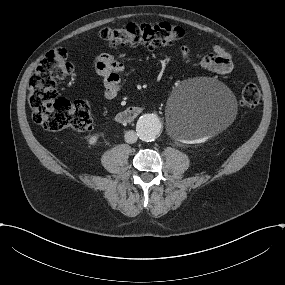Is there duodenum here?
<instances>
[{
    "instance_id": "duodenum-1",
    "label": "duodenum",
    "mask_w": 285,
    "mask_h": 285,
    "mask_svg": "<svg viewBox=\"0 0 285 285\" xmlns=\"http://www.w3.org/2000/svg\"><path fill=\"white\" fill-rule=\"evenodd\" d=\"M142 109L139 106H132L123 111H120L116 115V121L120 124H128L137 119Z\"/></svg>"
}]
</instances>
